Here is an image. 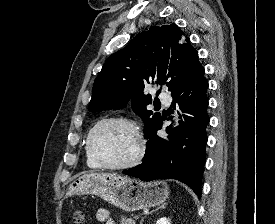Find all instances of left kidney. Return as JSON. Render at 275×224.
Instances as JSON below:
<instances>
[{
	"label": "left kidney",
	"instance_id": "5707ae66",
	"mask_svg": "<svg viewBox=\"0 0 275 224\" xmlns=\"http://www.w3.org/2000/svg\"><path fill=\"white\" fill-rule=\"evenodd\" d=\"M156 224H170V221L166 217H163L157 220Z\"/></svg>",
	"mask_w": 275,
	"mask_h": 224
}]
</instances>
